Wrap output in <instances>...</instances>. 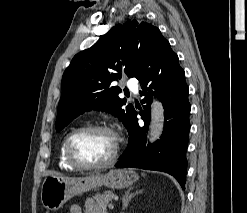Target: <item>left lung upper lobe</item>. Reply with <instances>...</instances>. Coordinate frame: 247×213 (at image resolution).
I'll return each instance as SVG.
<instances>
[{"label":"left lung upper lobe","mask_w":247,"mask_h":213,"mask_svg":"<svg viewBox=\"0 0 247 213\" xmlns=\"http://www.w3.org/2000/svg\"><path fill=\"white\" fill-rule=\"evenodd\" d=\"M174 53L169 42L155 26L129 20L112 27L91 48L72 59L62 77L56 130L59 132L80 114L95 109L117 116L125 125L135 112L111 83L121 72L139 81L152 66Z\"/></svg>","instance_id":"obj_1"}]
</instances>
